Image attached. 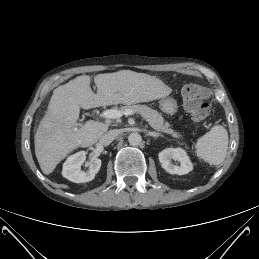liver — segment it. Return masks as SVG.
Listing matches in <instances>:
<instances>
[{
	"label": "liver",
	"instance_id": "liver-1",
	"mask_svg": "<svg viewBox=\"0 0 259 259\" xmlns=\"http://www.w3.org/2000/svg\"><path fill=\"white\" fill-rule=\"evenodd\" d=\"M90 82V76H78L53 92L34 138L35 154L46 175L70 152L93 145L108 130V125L94 120L78 127L81 107L131 105L156 100L171 92L156 77L130 70L94 76L97 94L90 88Z\"/></svg>",
	"mask_w": 259,
	"mask_h": 259
}]
</instances>
